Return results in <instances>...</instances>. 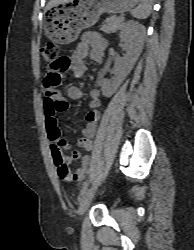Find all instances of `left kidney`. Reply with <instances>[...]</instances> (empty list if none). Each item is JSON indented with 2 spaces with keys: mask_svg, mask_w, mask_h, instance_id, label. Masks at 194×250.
Wrapping results in <instances>:
<instances>
[{
  "mask_svg": "<svg viewBox=\"0 0 194 250\" xmlns=\"http://www.w3.org/2000/svg\"><path fill=\"white\" fill-rule=\"evenodd\" d=\"M145 36V27L137 21L130 20L124 24L123 29L120 32V39L122 42H125L126 56L122 67L116 71V78L112 85L113 91L119 87L133 69L142 52Z\"/></svg>",
  "mask_w": 194,
  "mask_h": 250,
  "instance_id": "5707ae66",
  "label": "left kidney"
}]
</instances>
